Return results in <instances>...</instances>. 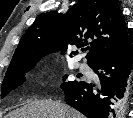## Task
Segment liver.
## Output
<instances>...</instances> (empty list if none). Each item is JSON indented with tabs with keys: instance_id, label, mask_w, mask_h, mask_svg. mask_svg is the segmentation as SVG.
Returning <instances> with one entry per match:
<instances>
[{
	"instance_id": "obj_1",
	"label": "liver",
	"mask_w": 133,
	"mask_h": 118,
	"mask_svg": "<svg viewBox=\"0 0 133 118\" xmlns=\"http://www.w3.org/2000/svg\"><path fill=\"white\" fill-rule=\"evenodd\" d=\"M6 118H84V116L58 101L35 100L9 113Z\"/></svg>"
}]
</instances>
